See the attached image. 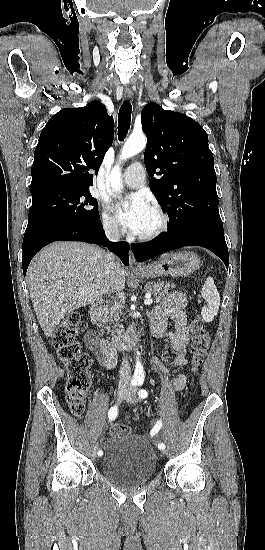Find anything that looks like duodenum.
Here are the masks:
<instances>
[{
  "label": "duodenum",
  "instance_id": "duodenum-1",
  "mask_svg": "<svg viewBox=\"0 0 265 550\" xmlns=\"http://www.w3.org/2000/svg\"><path fill=\"white\" fill-rule=\"evenodd\" d=\"M102 307V301L97 300L89 306V319L92 325L96 326L99 321V314ZM138 330H131L126 334L116 336L110 339H103V343L113 350L123 351L135 344Z\"/></svg>",
  "mask_w": 265,
  "mask_h": 550
}]
</instances>
